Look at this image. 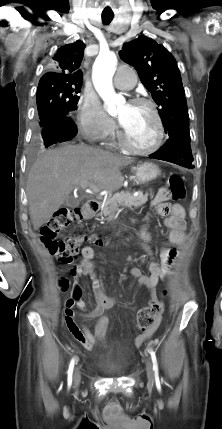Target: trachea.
Here are the masks:
<instances>
[{"label":"trachea","instance_id":"3493384b","mask_svg":"<svg viewBox=\"0 0 222 429\" xmlns=\"http://www.w3.org/2000/svg\"><path fill=\"white\" fill-rule=\"evenodd\" d=\"M113 18H114L113 12H103L102 13V21L105 25L110 24V22L112 21Z\"/></svg>","mask_w":222,"mask_h":429}]
</instances>
